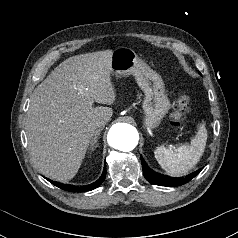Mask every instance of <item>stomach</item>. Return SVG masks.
<instances>
[{
	"label": "stomach",
	"mask_w": 238,
	"mask_h": 238,
	"mask_svg": "<svg viewBox=\"0 0 238 238\" xmlns=\"http://www.w3.org/2000/svg\"><path fill=\"white\" fill-rule=\"evenodd\" d=\"M111 73L117 78L135 76L138 86L145 94L142 106L145 127L157 128L170 109L161 76L150 69L132 49L126 47L113 51Z\"/></svg>",
	"instance_id": "obj_1"
}]
</instances>
